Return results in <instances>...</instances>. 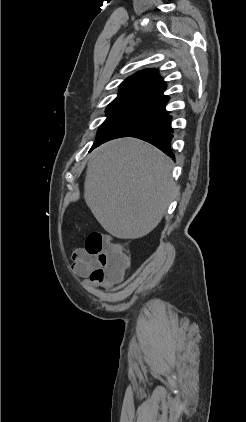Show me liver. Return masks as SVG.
<instances>
[{
	"instance_id": "1",
	"label": "liver",
	"mask_w": 246,
	"mask_h": 422,
	"mask_svg": "<svg viewBox=\"0 0 246 422\" xmlns=\"http://www.w3.org/2000/svg\"><path fill=\"white\" fill-rule=\"evenodd\" d=\"M171 170V159L144 141L107 142L89 155L85 202L111 235L142 238L160 223L176 193Z\"/></svg>"
}]
</instances>
